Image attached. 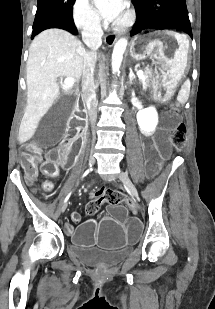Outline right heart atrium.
Wrapping results in <instances>:
<instances>
[{"label": "right heart atrium", "instance_id": "right-heart-atrium-1", "mask_svg": "<svg viewBox=\"0 0 215 309\" xmlns=\"http://www.w3.org/2000/svg\"><path fill=\"white\" fill-rule=\"evenodd\" d=\"M75 24L79 31L90 34L100 29L98 15L89 7V0H76Z\"/></svg>", "mask_w": 215, "mask_h": 309}]
</instances>
